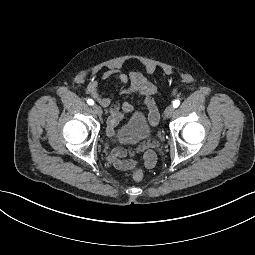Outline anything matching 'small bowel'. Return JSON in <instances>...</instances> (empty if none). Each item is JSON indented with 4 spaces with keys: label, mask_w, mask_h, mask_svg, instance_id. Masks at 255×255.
Wrapping results in <instances>:
<instances>
[{
    "label": "small bowel",
    "mask_w": 255,
    "mask_h": 255,
    "mask_svg": "<svg viewBox=\"0 0 255 255\" xmlns=\"http://www.w3.org/2000/svg\"><path fill=\"white\" fill-rule=\"evenodd\" d=\"M100 77L104 80L117 79L123 86L121 89L122 95L141 97L148 110L149 122L152 126L157 125L159 121V112L156 104L158 87L144 74L136 71L126 74L118 69H108L101 72ZM86 91L101 106L108 108L107 134L110 138H113L116 126L121 122L124 115L133 110L132 105L126 101L115 102L112 95H103L98 89V83L95 78L89 81ZM127 144L135 146V149L128 151L117 147L110 154V162L116 169L133 172L138 169L139 162H142L147 169L155 166L157 161L155 149L159 146L157 141L142 142L141 140H131ZM138 153H142V156L140 159H135L134 157Z\"/></svg>",
    "instance_id": "c3829d8e"
}]
</instances>
